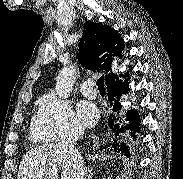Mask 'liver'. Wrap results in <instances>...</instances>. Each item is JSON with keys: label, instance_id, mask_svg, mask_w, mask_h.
<instances>
[{"label": "liver", "instance_id": "liver-1", "mask_svg": "<svg viewBox=\"0 0 183 179\" xmlns=\"http://www.w3.org/2000/svg\"><path fill=\"white\" fill-rule=\"evenodd\" d=\"M74 179L73 161L70 154L57 144H43L29 150L22 158L17 179Z\"/></svg>", "mask_w": 183, "mask_h": 179}]
</instances>
